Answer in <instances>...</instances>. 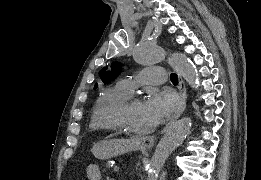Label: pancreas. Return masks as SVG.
<instances>
[{
    "instance_id": "1",
    "label": "pancreas",
    "mask_w": 261,
    "mask_h": 180,
    "mask_svg": "<svg viewBox=\"0 0 261 180\" xmlns=\"http://www.w3.org/2000/svg\"><path fill=\"white\" fill-rule=\"evenodd\" d=\"M104 170H111V162H110V159H105V162H104Z\"/></svg>"
}]
</instances>
